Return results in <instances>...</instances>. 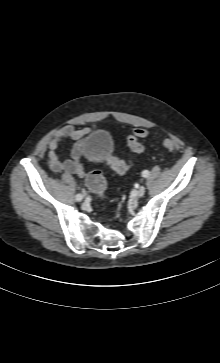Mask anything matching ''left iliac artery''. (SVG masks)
<instances>
[{"instance_id":"left-iliac-artery-1","label":"left iliac artery","mask_w":220,"mask_h":363,"mask_svg":"<svg viewBox=\"0 0 220 363\" xmlns=\"http://www.w3.org/2000/svg\"><path fill=\"white\" fill-rule=\"evenodd\" d=\"M149 171L148 170H144L143 172H142V176L144 177V178H147L148 176H149Z\"/></svg>"}]
</instances>
